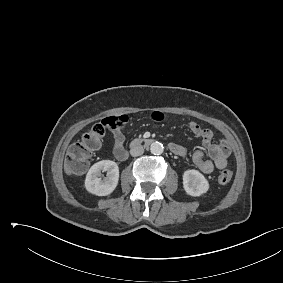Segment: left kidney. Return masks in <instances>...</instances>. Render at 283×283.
Returning <instances> with one entry per match:
<instances>
[{"instance_id":"5707ae66","label":"left kidney","mask_w":283,"mask_h":283,"mask_svg":"<svg viewBox=\"0 0 283 283\" xmlns=\"http://www.w3.org/2000/svg\"><path fill=\"white\" fill-rule=\"evenodd\" d=\"M183 188L188 195L198 197L208 191L209 183L198 170L191 169L183 174Z\"/></svg>"}]
</instances>
